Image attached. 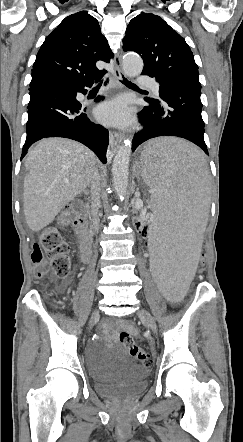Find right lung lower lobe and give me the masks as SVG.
Here are the masks:
<instances>
[{
	"label": "right lung lower lobe",
	"instance_id": "1",
	"mask_svg": "<svg viewBox=\"0 0 243 442\" xmlns=\"http://www.w3.org/2000/svg\"><path fill=\"white\" fill-rule=\"evenodd\" d=\"M105 73L83 83L49 82L30 87L27 137L21 159L34 142L44 137H65L83 143L103 163L107 162L108 131L91 122L84 113V104L76 99L77 93L85 94V88L91 87ZM102 99L98 96L95 101Z\"/></svg>",
	"mask_w": 243,
	"mask_h": 442
}]
</instances>
